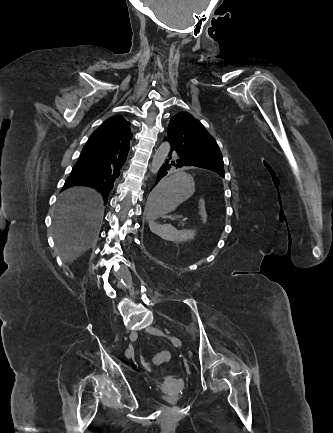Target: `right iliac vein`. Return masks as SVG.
I'll return each mask as SVG.
<instances>
[{
  "label": "right iliac vein",
  "mask_w": 333,
  "mask_h": 433,
  "mask_svg": "<svg viewBox=\"0 0 333 433\" xmlns=\"http://www.w3.org/2000/svg\"><path fill=\"white\" fill-rule=\"evenodd\" d=\"M129 338H130L131 342L135 341L137 339L136 331H131L129 334ZM132 355H133L132 349L131 348L127 349L126 350V357L131 358Z\"/></svg>",
  "instance_id": "right-iliac-vein-1"
}]
</instances>
